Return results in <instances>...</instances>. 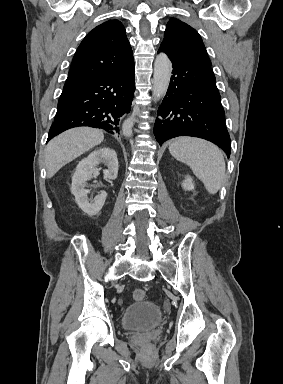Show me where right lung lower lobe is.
Masks as SVG:
<instances>
[{
  "label": "right lung lower lobe",
  "mask_w": 283,
  "mask_h": 384,
  "mask_svg": "<svg viewBox=\"0 0 283 384\" xmlns=\"http://www.w3.org/2000/svg\"><path fill=\"white\" fill-rule=\"evenodd\" d=\"M134 66L126 71L102 75L63 91L47 142L78 126L119 133L122 116L131 110L135 91Z\"/></svg>",
  "instance_id": "1"
}]
</instances>
